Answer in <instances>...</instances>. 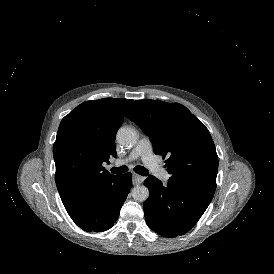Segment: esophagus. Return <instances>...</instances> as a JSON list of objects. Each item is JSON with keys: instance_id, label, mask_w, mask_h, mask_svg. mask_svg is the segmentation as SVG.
I'll return each mask as SVG.
<instances>
[{"instance_id": "obj_1", "label": "esophagus", "mask_w": 274, "mask_h": 274, "mask_svg": "<svg viewBox=\"0 0 274 274\" xmlns=\"http://www.w3.org/2000/svg\"><path fill=\"white\" fill-rule=\"evenodd\" d=\"M132 180H133V184L134 185H140V184L143 183L144 177H142V176H140V175H138L136 173H133Z\"/></svg>"}]
</instances>
